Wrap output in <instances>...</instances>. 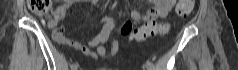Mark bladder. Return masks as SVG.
Listing matches in <instances>:
<instances>
[{
	"label": "bladder",
	"instance_id": "1",
	"mask_svg": "<svg viewBox=\"0 0 238 70\" xmlns=\"http://www.w3.org/2000/svg\"><path fill=\"white\" fill-rule=\"evenodd\" d=\"M100 70H108V69L104 68V69H100Z\"/></svg>",
	"mask_w": 238,
	"mask_h": 70
}]
</instances>
